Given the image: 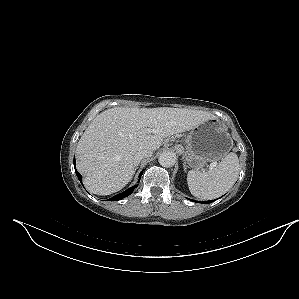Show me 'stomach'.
I'll list each match as a JSON object with an SVG mask.
<instances>
[{
  "instance_id": "obj_1",
  "label": "stomach",
  "mask_w": 299,
  "mask_h": 299,
  "mask_svg": "<svg viewBox=\"0 0 299 299\" xmlns=\"http://www.w3.org/2000/svg\"><path fill=\"white\" fill-rule=\"evenodd\" d=\"M232 148V139L216 119H210L193 129L185 140V160L192 168L223 159Z\"/></svg>"
}]
</instances>
